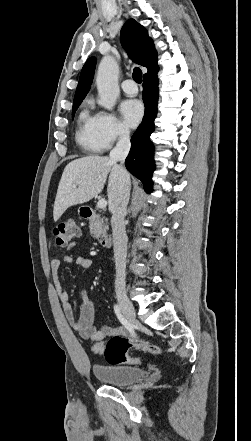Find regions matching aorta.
<instances>
[{"label":"aorta","instance_id":"obj_1","mask_svg":"<svg viewBox=\"0 0 251 441\" xmlns=\"http://www.w3.org/2000/svg\"><path fill=\"white\" fill-rule=\"evenodd\" d=\"M119 68L112 56H104L99 64L96 84L99 94V104L107 110H112L119 96Z\"/></svg>","mask_w":251,"mask_h":441}]
</instances>
